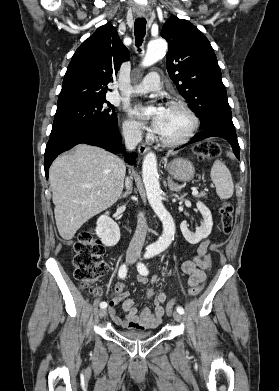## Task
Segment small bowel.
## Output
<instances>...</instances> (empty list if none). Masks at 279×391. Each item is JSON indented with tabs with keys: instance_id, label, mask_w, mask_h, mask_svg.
Listing matches in <instances>:
<instances>
[{
	"instance_id": "1",
	"label": "small bowel",
	"mask_w": 279,
	"mask_h": 391,
	"mask_svg": "<svg viewBox=\"0 0 279 391\" xmlns=\"http://www.w3.org/2000/svg\"><path fill=\"white\" fill-rule=\"evenodd\" d=\"M209 244V240L201 242L193 259L184 261L181 264L182 272L189 276L187 280L188 287L204 283L206 280L205 271L210 265L205 262L204 256L207 254ZM147 281V278L144 276L138 278V282L141 284H146ZM151 282L152 284L157 285V277L153 276ZM125 288V284L119 282L115 285L111 294L109 301V316L112 321L120 327L133 330H148L159 326L164 316V307L167 300L166 293H156L155 290L150 289L147 292V296L149 298L155 297L154 310L152 311L149 308H144L138 312L135 307V301L132 298H129V293ZM120 304H122V308L126 314L125 319H121L117 315L116 309Z\"/></svg>"
}]
</instances>
